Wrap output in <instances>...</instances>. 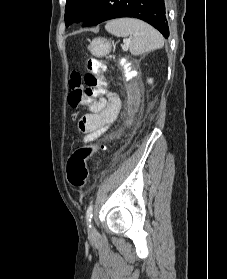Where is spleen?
<instances>
[{"instance_id":"3e777b00","label":"spleen","mask_w":227,"mask_h":279,"mask_svg":"<svg viewBox=\"0 0 227 279\" xmlns=\"http://www.w3.org/2000/svg\"><path fill=\"white\" fill-rule=\"evenodd\" d=\"M105 29L117 37H130L129 50L141 55L164 46L162 35L147 23L138 19L121 18L109 21Z\"/></svg>"}]
</instances>
